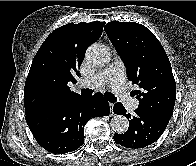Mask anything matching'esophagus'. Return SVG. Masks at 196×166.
Returning <instances> with one entry per match:
<instances>
[{
	"mask_svg": "<svg viewBox=\"0 0 196 166\" xmlns=\"http://www.w3.org/2000/svg\"><path fill=\"white\" fill-rule=\"evenodd\" d=\"M109 106H110V112H111V115H114V112H113V107H114V103H109Z\"/></svg>",
	"mask_w": 196,
	"mask_h": 166,
	"instance_id": "1",
	"label": "esophagus"
}]
</instances>
